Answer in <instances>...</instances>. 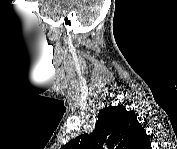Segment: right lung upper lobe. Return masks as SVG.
<instances>
[{"label":"right lung upper lobe","mask_w":177,"mask_h":149,"mask_svg":"<svg viewBox=\"0 0 177 149\" xmlns=\"http://www.w3.org/2000/svg\"><path fill=\"white\" fill-rule=\"evenodd\" d=\"M136 114L123 105L111 106L99 112L95 129L69 141L64 149H146L149 142Z\"/></svg>","instance_id":"right-lung-upper-lobe-1"}]
</instances>
